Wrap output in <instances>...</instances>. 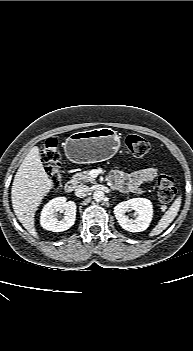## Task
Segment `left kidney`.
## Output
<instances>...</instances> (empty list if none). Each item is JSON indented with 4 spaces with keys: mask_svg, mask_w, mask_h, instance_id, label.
I'll return each instance as SVG.
<instances>
[{
    "mask_svg": "<svg viewBox=\"0 0 193 351\" xmlns=\"http://www.w3.org/2000/svg\"><path fill=\"white\" fill-rule=\"evenodd\" d=\"M135 211L136 218L130 219L126 212ZM114 214L119 225L129 232L146 230L153 217V206L146 198H133L120 202L114 207Z\"/></svg>",
    "mask_w": 193,
    "mask_h": 351,
    "instance_id": "left-kidney-1",
    "label": "left kidney"
}]
</instances>
